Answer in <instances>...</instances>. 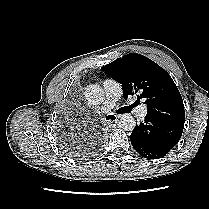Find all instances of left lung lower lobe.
Masks as SVG:
<instances>
[{"label":"left lung lower lobe","mask_w":209,"mask_h":209,"mask_svg":"<svg viewBox=\"0 0 209 209\" xmlns=\"http://www.w3.org/2000/svg\"><path fill=\"white\" fill-rule=\"evenodd\" d=\"M183 128L146 115L131 133V144L146 159L162 158L178 143Z\"/></svg>","instance_id":"1"}]
</instances>
